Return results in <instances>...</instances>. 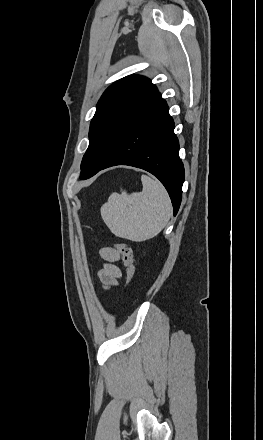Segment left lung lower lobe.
I'll return each instance as SVG.
<instances>
[{"instance_id": "left-lung-lower-lobe-1", "label": "left lung lower lobe", "mask_w": 263, "mask_h": 440, "mask_svg": "<svg viewBox=\"0 0 263 440\" xmlns=\"http://www.w3.org/2000/svg\"><path fill=\"white\" fill-rule=\"evenodd\" d=\"M115 165L134 166L156 176L167 189L174 215L177 214L182 197L184 167L179 158L174 122L159 92L135 115L107 163L84 179Z\"/></svg>"}]
</instances>
